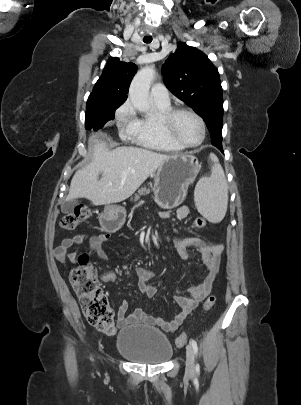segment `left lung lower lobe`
Wrapping results in <instances>:
<instances>
[{
  "instance_id": "left-lung-lower-lobe-1",
  "label": "left lung lower lobe",
  "mask_w": 301,
  "mask_h": 405,
  "mask_svg": "<svg viewBox=\"0 0 301 405\" xmlns=\"http://www.w3.org/2000/svg\"><path fill=\"white\" fill-rule=\"evenodd\" d=\"M211 143H212V145L216 146L218 149H220L221 151H223L222 145H221V142H220V141H218V140L215 139V138H211Z\"/></svg>"
}]
</instances>
